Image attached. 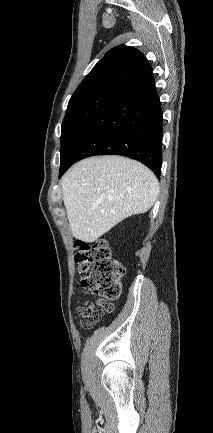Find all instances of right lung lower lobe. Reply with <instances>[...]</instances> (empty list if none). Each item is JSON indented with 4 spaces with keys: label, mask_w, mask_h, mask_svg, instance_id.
<instances>
[{
    "label": "right lung lower lobe",
    "mask_w": 213,
    "mask_h": 433,
    "mask_svg": "<svg viewBox=\"0 0 213 433\" xmlns=\"http://www.w3.org/2000/svg\"><path fill=\"white\" fill-rule=\"evenodd\" d=\"M162 108L152 71L94 117L61 156L59 178L76 161L122 155L148 166L160 178Z\"/></svg>",
    "instance_id": "98d812e1"
}]
</instances>
